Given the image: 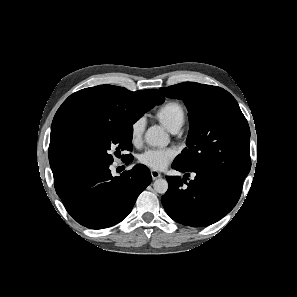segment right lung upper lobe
I'll use <instances>...</instances> for the list:
<instances>
[{"label": "right lung upper lobe", "instance_id": "right-lung-upper-lobe-1", "mask_svg": "<svg viewBox=\"0 0 297 297\" xmlns=\"http://www.w3.org/2000/svg\"><path fill=\"white\" fill-rule=\"evenodd\" d=\"M143 98L162 103L157 89L129 91L124 87L100 85L70 95L56 112L48 150L55 188L77 171L68 155V143L80 128L102 122L130 121L137 115L136 105Z\"/></svg>", "mask_w": 297, "mask_h": 297}]
</instances>
